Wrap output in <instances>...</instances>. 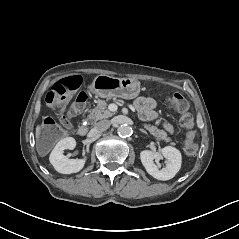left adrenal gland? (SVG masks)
<instances>
[{
	"label": "left adrenal gland",
	"instance_id": "left-adrenal-gland-1",
	"mask_svg": "<svg viewBox=\"0 0 239 239\" xmlns=\"http://www.w3.org/2000/svg\"><path fill=\"white\" fill-rule=\"evenodd\" d=\"M139 131L141 132V133H144V134H146V135H148V133L145 131V130H143V129H139Z\"/></svg>",
	"mask_w": 239,
	"mask_h": 239
}]
</instances>
